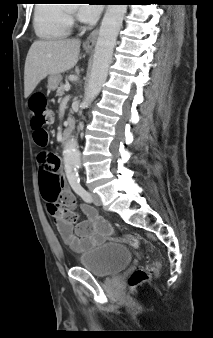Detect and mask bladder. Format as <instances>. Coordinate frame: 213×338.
<instances>
[{
  "instance_id": "1",
  "label": "bladder",
  "mask_w": 213,
  "mask_h": 338,
  "mask_svg": "<svg viewBox=\"0 0 213 338\" xmlns=\"http://www.w3.org/2000/svg\"><path fill=\"white\" fill-rule=\"evenodd\" d=\"M132 260L133 254L129 247L120 243H106L77 257L80 267L101 278L121 272Z\"/></svg>"
}]
</instances>
